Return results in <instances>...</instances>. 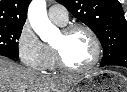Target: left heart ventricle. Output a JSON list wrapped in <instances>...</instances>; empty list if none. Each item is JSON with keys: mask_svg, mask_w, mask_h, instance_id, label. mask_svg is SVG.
I'll list each match as a JSON object with an SVG mask.
<instances>
[{"mask_svg": "<svg viewBox=\"0 0 127 92\" xmlns=\"http://www.w3.org/2000/svg\"><path fill=\"white\" fill-rule=\"evenodd\" d=\"M53 44L60 48L64 60L73 68L84 67L93 58V42L84 30H75L68 35L60 32Z\"/></svg>", "mask_w": 127, "mask_h": 92, "instance_id": "b2bd125f", "label": "left heart ventricle"}]
</instances>
